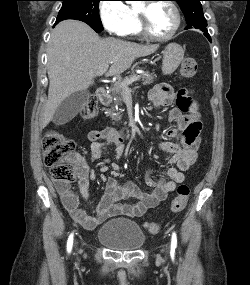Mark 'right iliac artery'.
<instances>
[{
    "mask_svg": "<svg viewBox=\"0 0 250 285\" xmlns=\"http://www.w3.org/2000/svg\"><path fill=\"white\" fill-rule=\"evenodd\" d=\"M73 233L70 234L69 238H68V241H67V251L68 253L71 252L72 250V246H73Z\"/></svg>",
    "mask_w": 250,
    "mask_h": 285,
    "instance_id": "right-iliac-artery-1",
    "label": "right iliac artery"
}]
</instances>
